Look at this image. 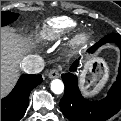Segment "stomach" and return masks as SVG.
Wrapping results in <instances>:
<instances>
[{
    "label": "stomach",
    "instance_id": "0dacf381",
    "mask_svg": "<svg viewBox=\"0 0 121 121\" xmlns=\"http://www.w3.org/2000/svg\"><path fill=\"white\" fill-rule=\"evenodd\" d=\"M108 76L109 68L103 59L91 60L80 75L85 95L92 96L98 93L105 85Z\"/></svg>",
    "mask_w": 121,
    "mask_h": 121
}]
</instances>
